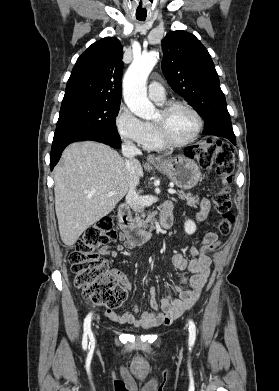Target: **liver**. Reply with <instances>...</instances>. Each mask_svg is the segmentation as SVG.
I'll use <instances>...</instances> for the list:
<instances>
[{
  "label": "liver",
  "instance_id": "6515ba94",
  "mask_svg": "<svg viewBox=\"0 0 279 391\" xmlns=\"http://www.w3.org/2000/svg\"><path fill=\"white\" fill-rule=\"evenodd\" d=\"M62 158V165L53 172L55 210L61 239L72 246L87 228L116 207L129 190L132 178L127 160L102 143H73ZM134 166L135 176L143 177V168L136 159ZM111 191L117 193L108 196Z\"/></svg>",
  "mask_w": 279,
  "mask_h": 391
}]
</instances>
